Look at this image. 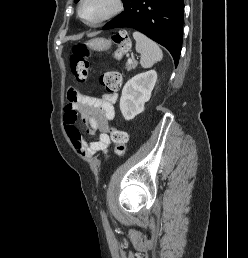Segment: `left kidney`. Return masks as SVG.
<instances>
[{"label":"left kidney","instance_id":"5707ae66","mask_svg":"<svg viewBox=\"0 0 248 258\" xmlns=\"http://www.w3.org/2000/svg\"><path fill=\"white\" fill-rule=\"evenodd\" d=\"M156 80V71L149 70L135 75L125 84L120 98V110L125 120L130 121L144 111Z\"/></svg>","mask_w":248,"mask_h":258}]
</instances>
